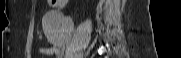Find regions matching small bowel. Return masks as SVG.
Returning <instances> with one entry per match:
<instances>
[{"mask_svg":"<svg viewBox=\"0 0 181 58\" xmlns=\"http://www.w3.org/2000/svg\"><path fill=\"white\" fill-rule=\"evenodd\" d=\"M53 6H56V1H50ZM39 52L44 55H54L55 58L61 57V51L58 46H51L48 48H39Z\"/></svg>","mask_w":181,"mask_h":58,"instance_id":"obj_1","label":"small bowel"}]
</instances>
